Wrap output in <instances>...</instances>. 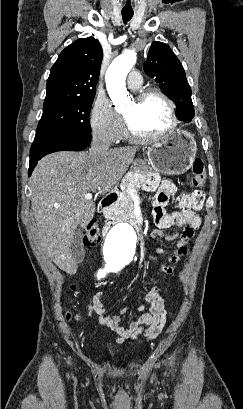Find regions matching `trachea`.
Returning <instances> with one entry per match:
<instances>
[{
  "mask_svg": "<svg viewBox=\"0 0 243 409\" xmlns=\"http://www.w3.org/2000/svg\"><path fill=\"white\" fill-rule=\"evenodd\" d=\"M121 13L124 23H127L133 17V12L122 11Z\"/></svg>",
  "mask_w": 243,
  "mask_h": 409,
  "instance_id": "obj_1",
  "label": "trachea"
}]
</instances>
